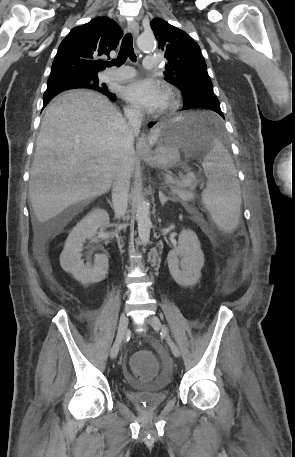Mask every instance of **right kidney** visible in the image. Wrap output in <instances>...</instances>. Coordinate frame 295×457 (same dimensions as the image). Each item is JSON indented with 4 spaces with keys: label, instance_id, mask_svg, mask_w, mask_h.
I'll return each instance as SVG.
<instances>
[{
    "label": "right kidney",
    "instance_id": "obj_1",
    "mask_svg": "<svg viewBox=\"0 0 295 457\" xmlns=\"http://www.w3.org/2000/svg\"><path fill=\"white\" fill-rule=\"evenodd\" d=\"M109 215L104 209H94L85 216L70 232L60 255L62 268L84 285L97 283L108 274V256L98 254L94 264H84L81 259L83 244L97 233L98 228L109 225Z\"/></svg>",
    "mask_w": 295,
    "mask_h": 457
}]
</instances>
